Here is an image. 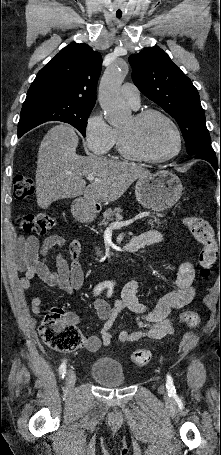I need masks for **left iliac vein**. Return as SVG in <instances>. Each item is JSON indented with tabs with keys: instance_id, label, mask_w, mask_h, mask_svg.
<instances>
[{
	"instance_id": "1",
	"label": "left iliac vein",
	"mask_w": 221,
	"mask_h": 455,
	"mask_svg": "<svg viewBox=\"0 0 221 455\" xmlns=\"http://www.w3.org/2000/svg\"><path fill=\"white\" fill-rule=\"evenodd\" d=\"M160 389H161V390H164V386H160Z\"/></svg>"
}]
</instances>
